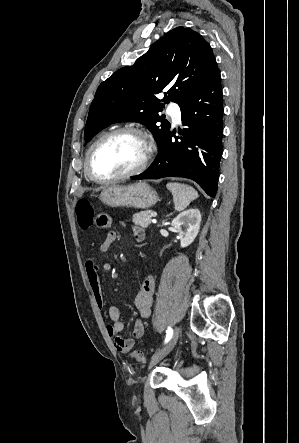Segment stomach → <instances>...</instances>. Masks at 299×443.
Here are the masks:
<instances>
[{
  "mask_svg": "<svg viewBox=\"0 0 299 443\" xmlns=\"http://www.w3.org/2000/svg\"><path fill=\"white\" fill-rule=\"evenodd\" d=\"M100 200L110 207L147 209L158 201V194L146 182H138L128 186H108L101 192Z\"/></svg>",
  "mask_w": 299,
  "mask_h": 443,
  "instance_id": "obj_1",
  "label": "stomach"
}]
</instances>
